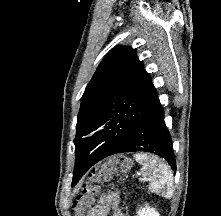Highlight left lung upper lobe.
Masks as SVG:
<instances>
[{
    "label": "left lung upper lobe",
    "instance_id": "obj_1",
    "mask_svg": "<svg viewBox=\"0 0 221 216\" xmlns=\"http://www.w3.org/2000/svg\"><path fill=\"white\" fill-rule=\"evenodd\" d=\"M156 89L136 50L118 46L100 63L82 96L77 120L75 169L80 156L91 146L107 143L122 147L149 113Z\"/></svg>",
    "mask_w": 221,
    "mask_h": 216
}]
</instances>
